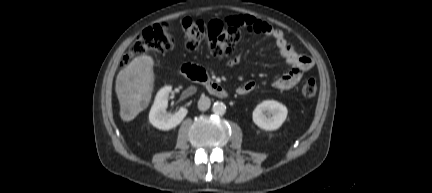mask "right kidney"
<instances>
[{
	"mask_svg": "<svg viewBox=\"0 0 432 193\" xmlns=\"http://www.w3.org/2000/svg\"><path fill=\"white\" fill-rule=\"evenodd\" d=\"M171 90V86H165L157 93L154 104L149 113L150 123L161 130H170L175 128L183 121L188 113V110L184 107H181L174 114L166 112L168 97Z\"/></svg>",
	"mask_w": 432,
	"mask_h": 193,
	"instance_id": "ca27d5eb",
	"label": "right kidney"
}]
</instances>
